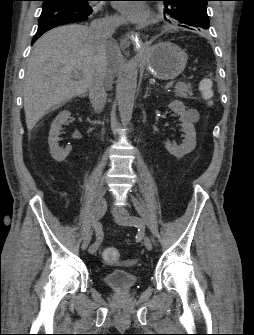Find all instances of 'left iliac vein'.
<instances>
[{
    "label": "left iliac vein",
    "mask_w": 254,
    "mask_h": 335,
    "mask_svg": "<svg viewBox=\"0 0 254 335\" xmlns=\"http://www.w3.org/2000/svg\"><path fill=\"white\" fill-rule=\"evenodd\" d=\"M112 212H113L114 220L116 223L120 225H124V226L134 225L131 221H129L130 215L126 210L114 208ZM142 237H143V241H144V245L146 249L151 251L153 248V245H152L150 238L146 236L145 234H143Z\"/></svg>",
    "instance_id": "left-iliac-vein-1"
}]
</instances>
